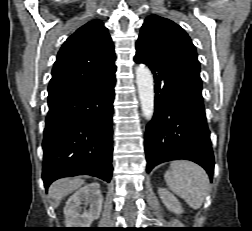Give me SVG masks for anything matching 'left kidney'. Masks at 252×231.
I'll use <instances>...</instances> for the list:
<instances>
[{
  "label": "left kidney",
  "instance_id": "obj_1",
  "mask_svg": "<svg viewBox=\"0 0 252 231\" xmlns=\"http://www.w3.org/2000/svg\"><path fill=\"white\" fill-rule=\"evenodd\" d=\"M158 193L163 203L170 211L175 214H181L183 212L180 202L172 193L165 188H159Z\"/></svg>",
  "mask_w": 252,
  "mask_h": 231
}]
</instances>
